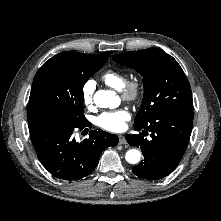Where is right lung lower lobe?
Here are the masks:
<instances>
[{
    "label": "right lung lower lobe",
    "mask_w": 221,
    "mask_h": 221,
    "mask_svg": "<svg viewBox=\"0 0 221 221\" xmlns=\"http://www.w3.org/2000/svg\"><path fill=\"white\" fill-rule=\"evenodd\" d=\"M89 126L86 121L70 124L62 119L41 117L29 122V132L37 157L56 178L78 180L91 174L104 149L118 144V137L92 130L88 139L78 142L74 131Z\"/></svg>",
    "instance_id": "98d812e1"
}]
</instances>
